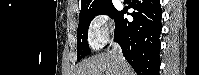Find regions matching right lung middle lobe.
<instances>
[{
	"label": "right lung middle lobe",
	"instance_id": "right-lung-middle-lobe-1",
	"mask_svg": "<svg viewBox=\"0 0 199 75\" xmlns=\"http://www.w3.org/2000/svg\"><path fill=\"white\" fill-rule=\"evenodd\" d=\"M108 15L110 18L117 20L120 11H117L112 2L101 5L100 7L79 16V25L77 30V60L91 53L87 43L88 28L91 20L97 15Z\"/></svg>",
	"mask_w": 199,
	"mask_h": 75
}]
</instances>
